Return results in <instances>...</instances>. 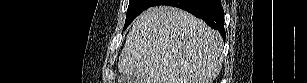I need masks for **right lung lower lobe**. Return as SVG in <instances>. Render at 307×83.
I'll return each mask as SVG.
<instances>
[{
	"label": "right lung lower lobe",
	"instance_id": "obj_1",
	"mask_svg": "<svg viewBox=\"0 0 307 83\" xmlns=\"http://www.w3.org/2000/svg\"><path fill=\"white\" fill-rule=\"evenodd\" d=\"M170 5L203 19L225 38L224 11L220 0H153L151 6Z\"/></svg>",
	"mask_w": 307,
	"mask_h": 83
}]
</instances>
